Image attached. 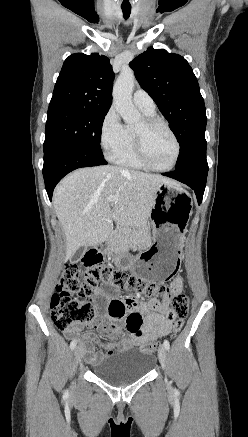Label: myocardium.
I'll use <instances>...</instances> for the list:
<instances>
[{
	"instance_id": "myocardium-1",
	"label": "myocardium",
	"mask_w": 248,
	"mask_h": 437,
	"mask_svg": "<svg viewBox=\"0 0 248 437\" xmlns=\"http://www.w3.org/2000/svg\"><path fill=\"white\" fill-rule=\"evenodd\" d=\"M156 126H163L169 132L175 143V155L173 161L168 167L165 168H158L153 166L148 160L145 151V132ZM133 136L136 155L145 168L156 172H168L176 166L180 157L181 145L177 135L165 120L158 117H146L143 120V131H134Z\"/></svg>"
}]
</instances>
